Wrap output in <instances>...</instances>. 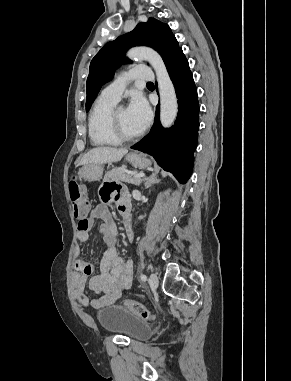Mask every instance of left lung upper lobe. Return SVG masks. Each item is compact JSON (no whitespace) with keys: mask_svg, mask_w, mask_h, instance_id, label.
I'll return each instance as SVG.
<instances>
[{"mask_svg":"<svg viewBox=\"0 0 291 381\" xmlns=\"http://www.w3.org/2000/svg\"><path fill=\"white\" fill-rule=\"evenodd\" d=\"M134 46L152 47L161 54L165 65L181 49L169 26L154 18H150L147 23H139L131 32L108 42L90 64L86 86V111L90 109L102 85L113 77L115 68L129 61L124 54Z\"/></svg>","mask_w":291,"mask_h":381,"instance_id":"5c2ea615","label":"left lung upper lobe"}]
</instances>
